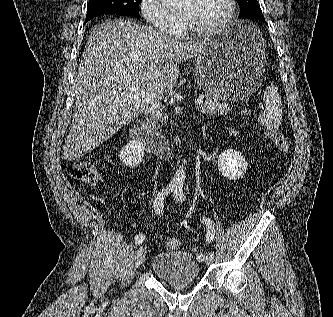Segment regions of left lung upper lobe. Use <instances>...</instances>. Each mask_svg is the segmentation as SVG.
<instances>
[{"label": "left lung upper lobe", "mask_w": 333, "mask_h": 317, "mask_svg": "<svg viewBox=\"0 0 333 317\" xmlns=\"http://www.w3.org/2000/svg\"><path fill=\"white\" fill-rule=\"evenodd\" d=\"M237 2L240 6L239 18L257 19L263 17L257 0H237Z\"/></svg>", "instance_id": "1"}]
</instances>
